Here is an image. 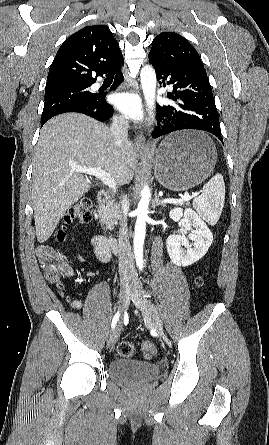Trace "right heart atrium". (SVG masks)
<instances>
[{"label":"right heart atrium","instance_id":"obj_1","mask_svg":"<svg viewBox=\"0 0 269 445\" xmlns=\"http://www.w3.org/2000/svg\"><path fill=\"white\" fill-rule=\"evenodd\" d=\"M116 121H117L118 123H122V120H121L120 118H116Z\"/></svg>","mask_w":269,"mask_h":445}]
</instances>
